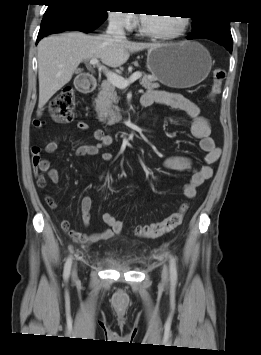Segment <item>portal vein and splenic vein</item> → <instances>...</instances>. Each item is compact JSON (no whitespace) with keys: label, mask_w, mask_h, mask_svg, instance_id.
<instances>
[{"label":"portal vein and splenic vein","mask_w":261,"mask_h":355,"mask_svg":"<svg viewBox=\"0 0 261 355\" xmlns=\"http://www.w3.org/2000/svg\"><path fill=\"white\" fill-rule=\"evenodd\" d=\"M90 64L93 66H97L99 70H103L104 74L107 77V80L119 89L127 88L131 83L135 82L141 77L140 72H135L128 79H124L120 75L106 69L103 65L99 63V60L97 58L90 59Z\"/></svg>","instance_id":"obj_1"}]
</instances>
